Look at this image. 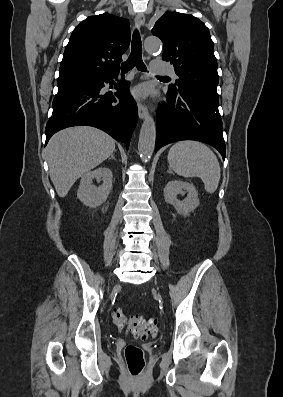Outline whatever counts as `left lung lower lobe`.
<instances>
[{
	"instance_id": "obj_1",
	"label": "left lung lower lobe",
	"mask_w": 283,
	"mask_h": 397,
	"mask_svg": "<svg viewBox=\"0 0 283 397\" xmlns=\"http://www.w3.org/2000/svg\"><path fill=\"white\" fill-rule=\"evenodd\" d=\"M219 99L193 90L168 89L167 103L157 116L155 152L181 140H197L216 148L225 159Z\"/></svg>"
}]
</instances>
